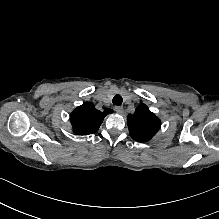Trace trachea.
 Masks as SVG:
<instances>
[{
    "label": "trachea",
    "mask_w": 219,
    "mask_h": 219,
    "mask_svg": "<svg viewBox=\"0 0 219 219\" xmlns=\"http://www.w3.org/2000/svg\"><path fill=\"white\" fill-rule=\"evenodd\" d=\"M122 102H123V99L119 94H117L113 97V104L114 105L120 106L122 104Z\"/></svg>",
    "instance_id": "trachea-1"
}]
</instances>
